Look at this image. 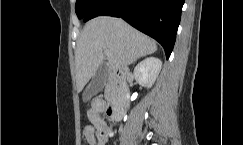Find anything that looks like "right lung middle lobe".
<instances>
[{"instance_id":"dd1d6c3e","label":"right lung middle lobe","mask_w":243,"mask_h":145,"mask_svg":"<svg viewBox=\"0 0 243 145\" xmlns=\"http://www.w3.org/2000/svg\"><path fill=\"white\" fill-rule=\"evenodd\" d=\"M99 0H76V14L79 19H83L89 9Z\"/></svg>"}]
</instances>
